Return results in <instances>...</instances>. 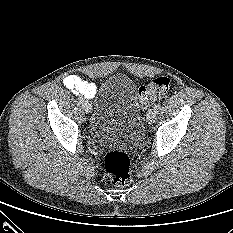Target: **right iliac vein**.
<instances>
[{"mask_svg": "<svg viewBox=\"0 0 233 233\" xmlns=\"http://www.w3.org/2000/svg\"><path fill=\"white\" fill-rule=\"evenodd\" d=\"M82 106L84 108V110L86 111V113H90L91 112V104L88 101H84L82 103Z\"/></svg>", "mask_w": 233, "mask_h": 233, "instance_id": "obj_1", "label": "right iliac vein"}]
</instances>
